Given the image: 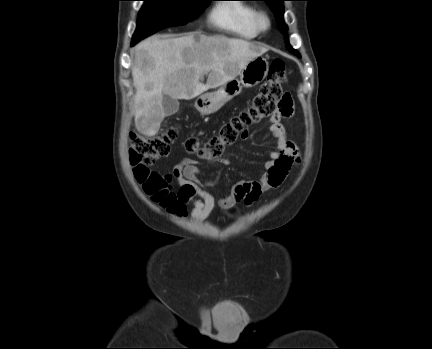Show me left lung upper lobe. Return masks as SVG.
Masks as SVG:
<instances>
[{"label":"left lung upper lobe","instance_id":"1","mask_svg":"<svg viewBox=\"0 0 432 349\" xmlns=\"http://www.w3.org/2000/svg\"><path fill=\"white\" fill-rule=\"evenodd\" d=\"M261 1H265L269 5L270 9L275 13L278 26H279L282 34L285 35V43H286L288 50L290 52H292L294 55L300 57V53L290 46V44L288 42V36L286 35L287 26L283 20V1H286V0H261Z\"/></svg>","mask_w":432,"mask_h":349}]
</instances>
